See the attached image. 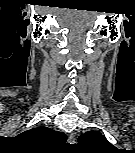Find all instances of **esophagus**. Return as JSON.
Listing matches in <instances>:
<instances>
[{"label":"esophagus","mask_w":135,"mask_h":153,"mask_svg":"<svg viewBox=\"0 0 135 153\" xmlns=\"http://www.w3.org/2000/svg\"><path fill=\"white\" fill-rule=\"evenodd\" d=\"M68 141H69L70 144H74V143H75V141H76V136H75L74 133H71V134L69 135Z\"/></svg>","instance_id":"esophagus-1"}]
</instances>
